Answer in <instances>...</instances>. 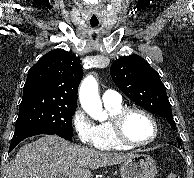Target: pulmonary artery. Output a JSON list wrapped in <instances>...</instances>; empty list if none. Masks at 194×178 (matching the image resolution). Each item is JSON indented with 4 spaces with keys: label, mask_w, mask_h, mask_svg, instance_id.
Listing matches in <instances>:
<instances>
[{
    "label": "pulmonary artery",
    "mask_w": 194,
    "mask_h": 178,
    "mask_svg": "<svg viewBox=\"0 0 194 178\" xmlns=\"http://www.w3.org/2000/svg\"><path fill=\"white\" fill-rule=\"evenodd\" d=\"M102 101L104 104H112L121 102L120 95L113 90H107L102 95Z\"/></svg>",
    "instance_id": "pulmonary-artery-1"
}]
</instances>
